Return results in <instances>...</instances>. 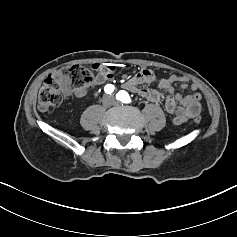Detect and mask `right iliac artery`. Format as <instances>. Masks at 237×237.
Returning <instances> with one entry per match:
<instances>
[{
  "label": "right iliac artery",
  "instance_id": "1",
  "mask_svg": "<svg viewBox=\"0 0 237 237\" xmlns=\"http://www.w3.org/2000/svg\"><path fill=\"white\" fill-rule=\"evenodd\" d=\"M115 87L114 85L112 84H107L105 87H104V91L107 93V94H111L113 91H114Z\"/></svg>",
  "mask_w": 237,
  "mask_h": 237
}]
</instances>
